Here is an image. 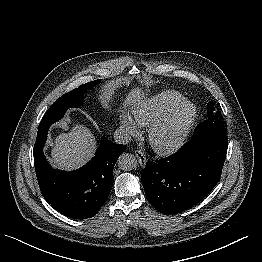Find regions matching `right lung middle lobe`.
Returning <instances> with one entry per match:
<instances>
[{
	"label": "right lung middle lobe",
	"instance_id": "1",
	"mask_svg": "<svg viewBox=\"0 0 262 262\" xmlns=\"http://www.w3.org/2000/svg\"><path fill=\"white\" fill-rule=\"evenodd\" d=\"M100 80L92 81L81 85L80 87L62 95L58 98L53 105L48 109L42 118L41 122L52 121L56 122L61 119L66 110L71 107H79L83 103L84 94L87 90L91 89L93 86L97 85Z\"/></svg>",
	"mask_w": 262,
	"mask_h": 262
}]
</instances>
